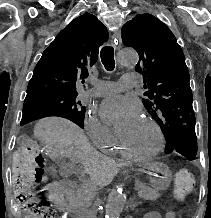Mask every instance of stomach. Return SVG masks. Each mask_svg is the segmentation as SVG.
I'll return each mask as SVG.
<instances>
[{
    "mask_svg": "<svg viewBox=\"0 0 211 218\" xmlns=\"http://www.w3.org/2000/svg\"><path fill=\"white\" fill-rule=\"evenodd\" d=\"M151 184L155 190H166L171 182V171L163 163L153 164L148 171Z\"/></svg>",
    "mask_w": 211,
    "mask_h": 218,
    "instance_id": "obj_1",
    "label": "stomach"
}]
</instances>
